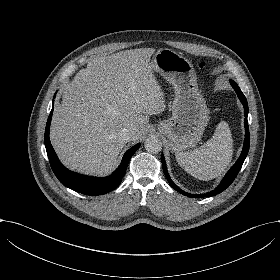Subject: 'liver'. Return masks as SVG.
Here are the masks:
<instances>
[{
    "instance_id": "liver-1",
    "label": "liver",
    "mask_w": 280,
    "mask_h": 280,
    "mask_svg": "<svg viewBox=\"0 0 280 280\" xmlns=\"http://www.w3.org/2000/svg\"><path fill=\"white\" fill-rule=\"evenodd\" d=\"M154 48L120 51L93 58L63 91L54 109L50 139L70 170L104 175L116 165L129 129L133 142L146 131L149 115L166 108L164 93L153 72Z\"/></svg>"
}]
</instances>
